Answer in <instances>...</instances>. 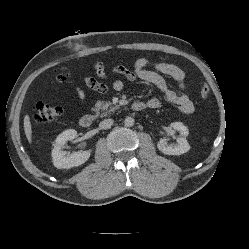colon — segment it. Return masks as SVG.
Masks as SVG:
<instances>
[{
  "instance_id": "5ec220e1",
  "label": "colon",
  "mask_w": 249,
  "mask_h": 249,
  "mask_svg": "<svg viewBox=\"0 0 249 249\" xmlns=\"http://www.w3.org/2000/svg\"><path fill=\"white\" fill-rule=\"evenodd\" d=\"M64 70L55 71V80L62 81L66 78ZM200 94L203 98H207L210 94V89L206 83L200 86ZM62 115L61 108L49 105L43 102H38L33 106L32 123L38 125L45 122H55Z\"/></svg>"
}]
</instances>
